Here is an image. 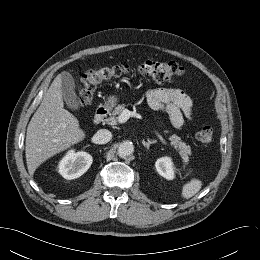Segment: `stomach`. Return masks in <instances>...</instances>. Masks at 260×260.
<instances>
[{
  "instance_id": "0dacf381",
  "label": "stomach",
  "mask_w": 260,
  "mask_h": 260,
  "mask_svg": "<svg viewBox=\"0 0 260 260\" xmlns=\"http://www.w3.org/2000/svg\"><path fill=\"white\" fill-rule=\"evenodd\" d=\"M116 101H117V98L115 96H110L109 97L110 104H114Z\"/></svg>"
}]
</instances>
